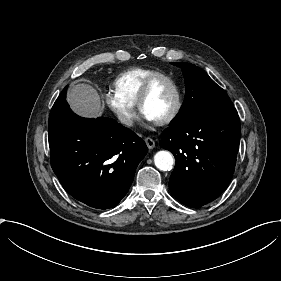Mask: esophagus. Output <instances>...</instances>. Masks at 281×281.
<instances>
[{
	"mask_svg": "<svg viewBox=\"0 0 281 281\" xmlns=\"http://www.w3.org/2000/svg\"><path fill=\"white\" fill-rule=\"evenodd\" d=\"M145 143L149 149H153L155 147V142L150 137L145 138Z\"/></svg>",
	"mask_w": 281,
	"mask_h": 281,
	"instance_id": "34e87169",
	"label": "esophagus"
}]
</instances>
